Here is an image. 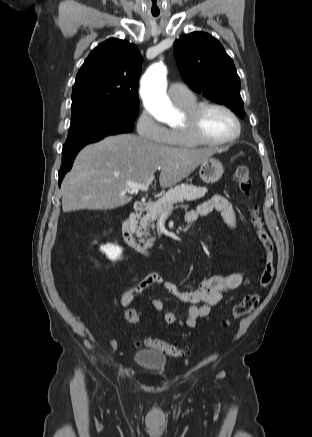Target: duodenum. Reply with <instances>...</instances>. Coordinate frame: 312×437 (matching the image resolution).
Instances as JSON below:
<instances>
[{"mask_svg": "<svg viewBox=\"0 0 312 437\" xmlns=\"http://www.w3.org/2000/svg\"><path fill=\"white\" fill-rule=\"evenodd\" d=\"M150 203L151 201L148 199L137 200L134 203L133 210L127 216L123 224V237L126 243L137 252L147 257L151 256V247L149 244L139 241L136 235V230L140 214L149 207Z\"/></svg>", "mask_w": 312, "mask_h": 437, "instance_id": "1", "label": "duodenum"}]
</instances>
